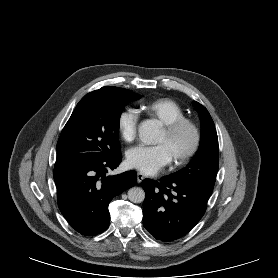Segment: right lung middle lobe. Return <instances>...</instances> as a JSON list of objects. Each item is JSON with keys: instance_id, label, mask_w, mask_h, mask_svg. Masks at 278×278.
<instances>
[{"instance_id": "dd1d6c3e", "label": "right lung middle lobe", "mask_w": 278, "mask_h": 278, "mask_svg": "<svg viewBox=\"0 0 278 278\" xmlns=\"http://www.w3.org/2000/svg\"><path fill=\"white\" fill-rule=\"evenodd\" d=\"M141 96L132 91H93L77 104L57 143L55 165L106 159L120 153L119 121L130 101Z\"/></svg>"}]
</instances>
